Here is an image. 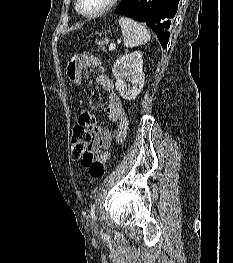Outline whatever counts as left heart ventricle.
Masks as SVG:
<instances>
[{"mask_svg": "<svg viewBox=\"0 0 233 263\" xmlns=\"http://www.w3.org/2000/svg\"><path fill=\"white\" fill-rule=\"evenodd\" d=\"M108 0H81V9L86 13H93L105 6Z\"/></svg>", "mask_w": 233, "mask_h": 263, "instance_id": "1", "label": "left heart ventricle"}]
</instances>
